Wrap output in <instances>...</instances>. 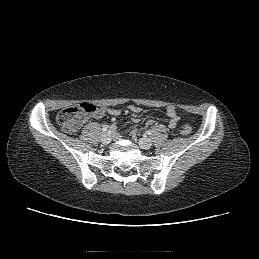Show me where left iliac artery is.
I'll return each mask as SVG.
<instances>
[{
    "mask_svg": "<svg viewBox=\"0 0 259 259\" xmlns=\"http://www.w3.org/2000/svg\"><path fill=\"white\" fill-rule=\"evenodd\" d=\"M147 134H148V135H151V134H152V131H151V130H148V131H147Z\"/></svg>",
    "mask_w": 259,
    "mask_h": 259,
    "instance_id": "1",
    "label": "left iliac artery"
}]
</instances>
